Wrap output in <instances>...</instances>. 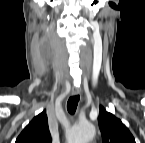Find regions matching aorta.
<instances>
[{"label": "aorta", "instance_id": "aorta-1", "mask_svg": "<svg viewBox=\"0 0 145 143\" xmlns=\"http://www.w3.org/2000/svg\"><path fill=\"white\" fill-rule=\"evenodd\" d=\"M95 136V127L91 123L79 124L68 132L69 143H89Z\"/></svg>", "mask_w": 145, "mask_h": 143}]
</instances>
